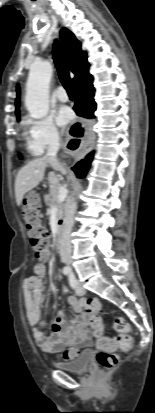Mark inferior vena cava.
<instances>
[{"mask_svg": "<svg viewBox=\"0 0 155 413\" xmlns=\"http://www.w3.org/2000/svg\"><path fill=\"white\" fill-rule=\"evenodd\" d=\"M60 143H59V135L57 132L51 134L49 139V145L47 149L46 158L48 159L49 163L53 167H57L60 169L62 173L65 170L61 167L60 163L58 162L56 155L59 150ZM77 203L74 199H69L65 209V217L63 220V242L61 245L60 256L61 260L65 264H70L72 262L71 259V244H70V233L74 224V215L76 211Z\"/></svg>", "mask_w": 155, "mask_h": 413, "instance_id": "1", "label": "inferior vena cava"}]
</instances>
